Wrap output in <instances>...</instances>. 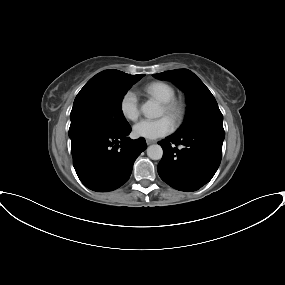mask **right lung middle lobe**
I'll list each match as a JSON object with an SVG mask.
<instances>
[{"mask_svg": "<svg viewBox=\"0 0 285 285\" xmlns=\"http://www.w3.org/2000/svg\"><path fill=\"white\" fill-rule=\"evenodd\" d=\"M143 76L122 74L91 78L74 100L69 136L86 128L117 132L130 127L122 113V99Z\"/></svg>", "mask_w": 285, "mask_h": 285, "instance_id": "right-lung-middle-lobe-1", "label": "right lung middle lobe"}]
</instances>
